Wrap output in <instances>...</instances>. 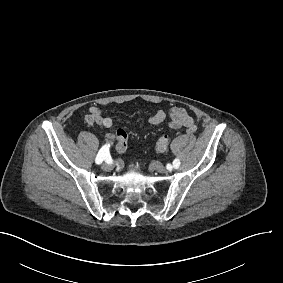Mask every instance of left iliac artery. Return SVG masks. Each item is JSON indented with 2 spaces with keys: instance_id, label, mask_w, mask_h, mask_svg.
<instances>
[{
  "instance_id": "left-iliac-artery-1",
  "label": "left iliac artery",
  "mask_w": 283,
  "mask_h": 283,
  "mask_svg": "<svg viewBox=\"0 0 283 283\" xmlns=\"http://www.w3.org/2000/svg\"><path fill=\"white\" fill-rule=\"evenodd\" d=\"M179 166H180V161H179V159H175V160L173 161V167H174L175 169H177Z\"/></svg>"
}]
</instances>
